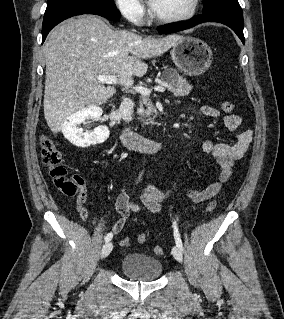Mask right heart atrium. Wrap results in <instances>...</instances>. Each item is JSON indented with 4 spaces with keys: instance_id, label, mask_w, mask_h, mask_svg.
I'll return each instance as SVG.
<instances>
[{
    "instance_id": "right-heart-atrium-1",
    "label": "right heart atrium",
    "mask_w": 284,
    "mask_h": 319,
    "mask_svg": "<svg viewBox=\"0 0 284 319\" xmlns=\"http://www.w3.org/2000/svg\"><path fill=\"white\" fill-rule=\"evenodd\" d=\"M121 15L131 23L141 24L146 15V9L140 0H115Z\"/></svg>"
}]
</instances>
